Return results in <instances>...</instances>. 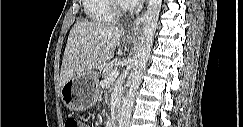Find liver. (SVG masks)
I'll list each match as a JSON object with an SVG mask.
<instances>
[{
	"label": "liver",
	"mask_w": 243,
	"mask_h": 127,
	"mask_svg": "<svg viewBox=\"0 0 243 127\" xmlns=\"http://www.w3.org/2000/svg\"><path fill=\"white\" fill-rule=\"evenodd\" d=\"M125 30L99 22L78 21L72 27L64 51L60 86L85 71L108 62Z\"/></svg>",
	"instance_id": "liver-1"
}]
</instances>
